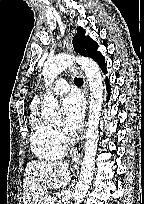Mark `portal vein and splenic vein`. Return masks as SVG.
<instances>
[{
  "mask_svg": "<svg viewBox=\"0 0 144 204\" xmlns=\"http://www.w3.org/2000/svg\"><path fill=\"white\" fill-rule=\"evenodd\" d=\"M55 201V198L53 197H47L46 204H52Z\"/></svg>",
  "mask_w": 144,
  "mask_h": 204,
  "instance_id": "portal-vein-and-splenic-vein-1",
  "label": "portal vein and splenic vein"
}]
</instances>
